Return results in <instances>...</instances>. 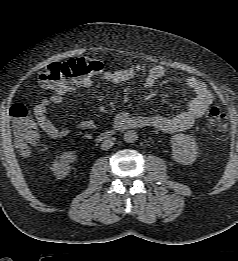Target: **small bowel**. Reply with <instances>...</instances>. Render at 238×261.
Masks as SVG:
<instances>
[{
    "label": "small bowel",
    "instance_id": "1",
    "mask_svg": "<svg viewBox=\"0 0 238 261\" xmlns=\"http://www.w3.org/2000/svg\"><path fill=\"white\" fill-rule=\"evenodd\" d=\"M139 73H146L144 86L151 88L161 79L166 71L162 65H155L147 68L143 63H136L124 68L104 70L103 79L112 84L124 82L132 79ZM92 84V79L86 77L73 83L68 91L75 88H88ZM185 86L190 89L194 97L189 101L187 109L172 117L161 115L134 116L127 112H121L114 119V126L119 129L151 127L165 133H177L189 129L195 121L201 118L213 102V95L207 85L194 76H187L184 79ZM66 91V92H68ZM66 92L56 91L49 98L43 99L34 108V115L38 125L43 132L53 139L63 138L69 134L66 127H57L47 116V110L51 105H59L63 102ZM78 129L93 130L96 123L92 119H86L77 124Z\"/></svg>",
    "mask_w": 238,
    "mask_h": 261
}]
</instances>
